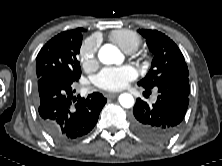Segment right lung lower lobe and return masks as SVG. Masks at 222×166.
Listing matches in <instances>:
<instances>
[{"mask_svg": "<svg viewBox=\"0 0 222 166\" xmlns=\"http://www.w3.org/2000/svg\"><path fill=\"white\" fill-rule=\"evenodd\" d=\"M78 79L50 72L37 79L36 103L44 130L58 142H70L88 134L97 123L107 100L94 92L87 98L73 97Z\"/></svg>", "mask_w": 222, "mask_h": 166, "instance_id": "obj_1", "label": "right lung lower lobe"}]
</instances>
